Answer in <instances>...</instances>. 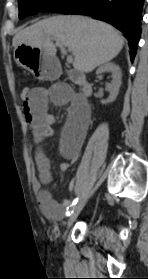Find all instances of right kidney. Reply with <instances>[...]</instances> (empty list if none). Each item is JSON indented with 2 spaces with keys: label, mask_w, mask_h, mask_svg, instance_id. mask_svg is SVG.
I'll use <instances>...</instances> for the list:
<instances>
[{
  "label": "right kidney",
  "mask_w": 148,
  "mask_h": 279,
  "mask_svg": "<svg viewBox=\"0 0 148 279\" xmlns=\"http://www.w3.org/2000/svg\"><path fill=\"white\" fill-rule=\"evenodd\" d=\"M105 72L112 74V82L106 86L107 90L110 92V96L107 100L101 101L102 104L111 103L117 98L122 77L120 67L113 62L105 63L104 65L100 66L97 69L96 74L101 75Z\"/></svg>",
  "instance_id": "obj_1"
}]
</instances>
